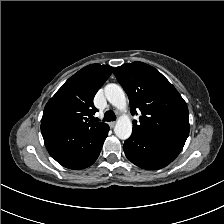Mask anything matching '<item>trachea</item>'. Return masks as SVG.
Here are the masks:
<instances>
[{
  "label": "trachea",
  "instance_id": "3493384b",
  "mask_svg": "<svg viewBox=\"0 0 224 224\" xmlns=\"http://www.w3.org/2000/svg\"><path fill=\"white\" fill-rule=\"evenodd\" d=\"M92 120L96 121V122L99 121L98 118H93ZM115 120H116V115L113 111L109 110V111L105 112L103 121H115Z\"/></svg>",
  "mask_w": 224,
  "mask_h": 224
}]
</instances>
